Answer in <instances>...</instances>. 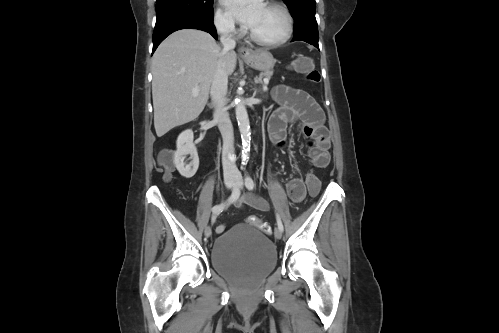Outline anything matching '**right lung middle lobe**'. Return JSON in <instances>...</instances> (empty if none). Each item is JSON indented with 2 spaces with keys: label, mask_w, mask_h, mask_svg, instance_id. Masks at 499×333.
Listing matches in <instances>:
<instances>
[{
  "label": "right lung middle lobe",
  "mask_w": 499,
  "mask_h": 333,
  "mask_svg": "<svg viewBox=\"0 0 499 333\" xmlns=\"http://www.w3.org/2000/svg\"><path fill=\"white\" fill-rule=\"evenodd\" d=\"M213 18V0H157L156 22L172 16Z\"/></svg>",
  "instance_id": "dd1d6c3e"
}]
</instances>
